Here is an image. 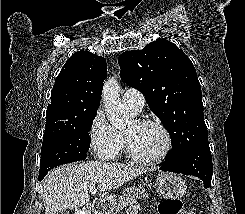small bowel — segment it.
Listing matches in <instances>:
<instances>
[{
  "label": "small bowel",
  "instance_id": "small-bowel-1",
  "mask_svg": "<svg viewBox=\"0 0 245 214\" xmlns=\"http://www.w3.org/2000/svg\"><path fill=\"white\" fill-rule=\"evenodd\" d=\"M140 212H141V211H140L139 206L134 205V206H132V207L129 209L128 214H141Z\"/></svg>",
  "mask_w": 245,
  "mask_h": 214
}]
</instances>
